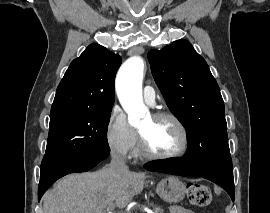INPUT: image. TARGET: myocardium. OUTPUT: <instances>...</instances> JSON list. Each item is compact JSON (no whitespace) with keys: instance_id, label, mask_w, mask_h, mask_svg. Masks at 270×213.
I'll use <instances>...</instances> for the list:
<instances>
[{"instance_id":"f54148a6","label":"myocardium","mask_w":270,"mask_h":213,"mask_svg":"<svg viewBox=\"0 0 270 213\" xmlns=\"http://www.w3.org/2000/svg\"><path fill=\"white\" fill-rule=\"evenodd\" d=\"M152 118L154 120H161V119H166V118L171 119L176 124V126L178 127V129L181 132L182 145L178 150H176L173 153L156 154L150 150V148L146 142V139L139 131V150H140L141 156L145 159H148V160H173V159H177V158L184 156L189 148V134H188V130H187L185 124L182 122V120L174 113L168 112V111L155 112L152 115Z\"/></svg>"}]
</instances>
